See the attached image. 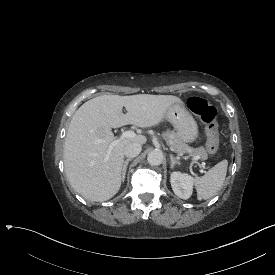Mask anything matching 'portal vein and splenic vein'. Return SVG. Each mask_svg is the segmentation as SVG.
Instances as JSON below:
<instances>
[{"instance_id": "1", "label": "portal vein and splenic vein", "mask_w": 275, "mask_h": 275, "mask_svg": "<svg viewBox=\"0 0 275 275\" xmlns=\"http://www.w3.org/2000/svg\"><path fill=\"white\" fill-rule=\"evenodd\" d=\"M135 136H136L135 132L129 130V131L123 132L122 135H121V137H120V139L133 138V137H135ZM118 142H119V140L113 141V142L110 144V146H109V150L111 151L112 147L115 146V145H117ZM194 159H195V160H198L199 157L196 156V157H194ZM201 166L204 167V166H205V162H202Z\"/></svg>"}]
</instances>
